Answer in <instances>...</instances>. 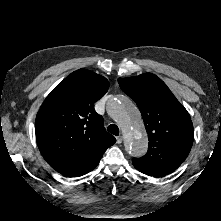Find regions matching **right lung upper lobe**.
Wrapping results in <instances>:
<instances>
[{
	"label": "right lung upper lobe",
	"instance_id": "obj_1",
	"mask_svg": "<svg viewBox=\"0 0 221 221\" xmlns=\"http://www.w3.org/2000/svg\"><path fill=\"white\" fill-rule=\"evenodd\" d=\"M108 88L106 78L79 69L44 100L36 117L35 132L39 150L50 166L107 149L116 142L94 109V103Z\"/></svg>",
	"mask_w": 221,
	"mask_h": 221
}]
</instances>
